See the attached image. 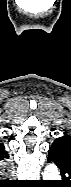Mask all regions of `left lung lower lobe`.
Instances as JSON below:
<instances>
[{
  "label": "left lung lower lobe",
  "instance_id": "left-lung-lower-lobe-1",
  "mask_svg": "<svg viewBox=\"0 0 71 187\" xmlns=\"http://www.w3.org/2000/svg\"><path fill=\"white\" fill-rule=\"evenodd\" d=\"M47 160L56 164L60 169L63 182L69 179L71 176V157L68 153L63 152L58 148L50 147Z\"/></svg>",
  "mask_w": 71,
  "mask_h": 187
}]
</instances>
